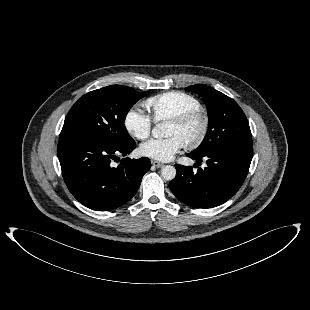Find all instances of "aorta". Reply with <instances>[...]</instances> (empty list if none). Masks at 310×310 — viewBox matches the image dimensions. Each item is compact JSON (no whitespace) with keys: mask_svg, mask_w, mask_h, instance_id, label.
Segmentation results:
<instances>
[{"mask_svg":"<svg viewBox=\"0 0 310 310\" xmlns=\"http://www.w3.org/2000/svg\"><path fill=\"white\" fill-rule=\"evenodd\" d=\"M152 136L154 138H162L166 136L165 132V125L164 123H158L153 129H152ZM161 176L165 180H173L176 176V169L175 167L171 165H165L161 169Z\"/></svg>","mask_w":310,"mask_h":310,"instance_id":"762f6f07","label":"aorta"}]
</instances>
